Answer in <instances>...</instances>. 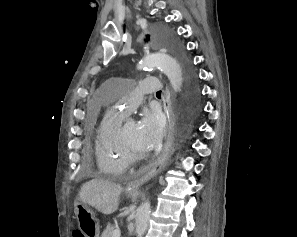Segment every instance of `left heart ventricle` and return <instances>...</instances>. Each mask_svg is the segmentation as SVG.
Segmentation results:
<instances>
[{"instance_id": "1", "label": "left heart ventricle", "mask_w": 297, "mask_h": 237, "mask_svg": "<svg viewBox=\"0 0 297 237\" xmlns=\"http://www.w3.org/2000/svg\"><path fill=\"white\" fill-rule=\"evenodd\" d=\"M123 135L128 144L136 151L147 152L140 144L138 138L137 124L135 122H127L122 125Z\"/></svg>"}]
</instances>
